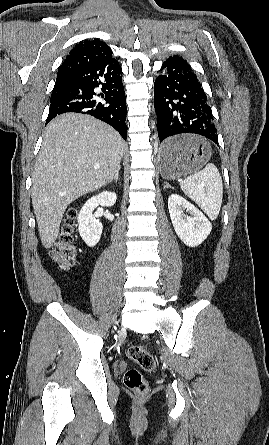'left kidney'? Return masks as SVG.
<instances>
[{
	"label": "left kidney",
	"mask_w": 269,
	"mask_h": 445,
	"mask_svg": "<svg viewBox=\"0 0 269 445\" xmlns=\"http://www.w3.org/2000/svg\"><path fill=\"white\" fill-rule=\"evenodd\" d=\"M170 218L178 237L189 247L200 245L210 234L212 225L204 214L178 194L168 198ZM192 216H188V214Z\"/></svg>",
	"instance_id": "1"
}]
</instances>
